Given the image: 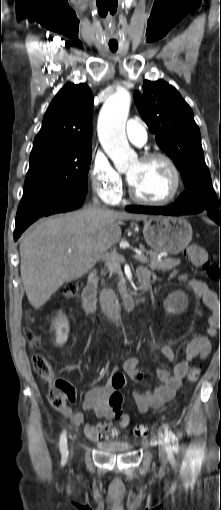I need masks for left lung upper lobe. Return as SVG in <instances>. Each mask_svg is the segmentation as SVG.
Segmentation results:
<instances>
[{
    "mask_svg": "<svg viewBox=\"0 0 221 510\" xmlns=\"http://www.w3.org/2000/svg\"><path fill=\"white\" fill-rule=\"evenodd\" d=\"M143 91V96L134 92L139 113L155 135L158 146L180 170L185 185V191L173 205L221 211V196L217 198L212 188L200 131L190 106L173 86L163 80H145Z\"/></svg>",
    "mask_w": 221,
    "mask_h": 510,
    "instance_id": "left-lung-upper-lobe-1",
    "label": "left lung upper lobe"
}]
</instances>
